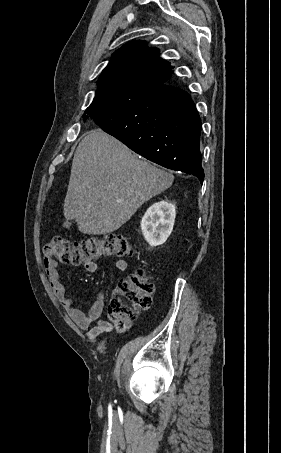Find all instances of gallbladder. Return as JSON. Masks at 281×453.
Returning a JSON list of instances; mask_svg holds the SVG:
<instances>
[{"mask_svg":"<svg viewBox=\"0 0 281 453\" xmlns=\"http://www.w3.org/2000/svg\"><path fill=\"white\" fill-rule=\"evenodd\" d=\"M63 227H64L65 229H70V228L72 227V222H71L70 220H65V221L63 222Z\"/></svg>","mask_w":281,"mask_h":453,"instance_id":"bac80fb5","label":"gallbladder"}]
</instances>
